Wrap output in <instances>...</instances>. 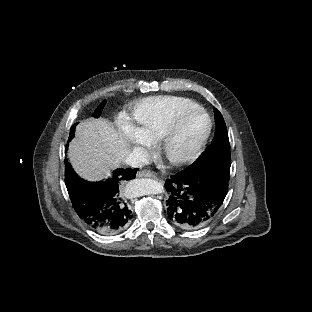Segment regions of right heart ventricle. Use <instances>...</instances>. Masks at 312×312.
Wrapping results in <instances>:
<instances>
[{
    "mask_svg": "<svg viewBox=\"0 0 312 312\" xmlns=\"http://www.w3.org/2000/svg\"><path fill=\"white\" fill-rule=\"evenodd\" d=\"M198 100L193 95L150 94L134 105L133 125L146 141H153L167 131L176 117L193 112Z\"/></svg>",
    "mask_w": 312,
    "mask_h": 312,
    "instance_id": "right-heart-ventricle-1",
    "label": "right heart ventricle"
}]
</instances>
